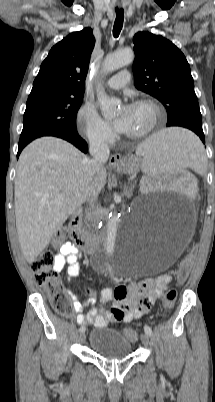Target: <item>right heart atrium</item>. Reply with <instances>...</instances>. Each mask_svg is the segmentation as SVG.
Segmentation results:
<instances>
[{
    "label": "right heart atrium",
    "instance_id": "right-heart-atrium-1",
    "mask_svg": "<svg viewBox=\"0 0 215 402\" xmlns=\"http://www.w3.org/2000/svg\"><path fill=\"white\" fill-rule=\"evenodd\" d=\"M77 121L81 132L90 142L106 145L112 141L113 132L110 126L90 105H84L80 108Z\"/></svg>",
    "mask_w": 215,
    "mask_h": 402
}]
</instances>
